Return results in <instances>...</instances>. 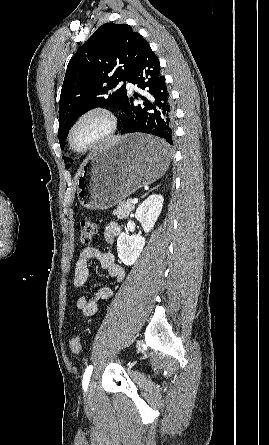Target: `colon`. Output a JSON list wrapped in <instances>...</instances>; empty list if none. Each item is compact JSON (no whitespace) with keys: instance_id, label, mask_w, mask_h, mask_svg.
Instances as JSON below:
<instances>
[{"instance_id":"colon-1","label":"colon","mask_w":269,"mask_h":445,"mask_svg":"<svg viewBox=\"0 0 269 445\" xmlns=\"http://www.w3.org/2000/svg\"><path fill=\"white\" fill-rule=\"evenodd\" d=\"M97 231L96 225L90 220H83L80 224V243L82 245H88ZM70 349L73 354L78 355L81 353V342L77 334H74L69 342Z\"/></svg>"}]
</instances>
